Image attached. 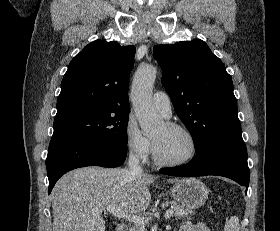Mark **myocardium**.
Here are the masks:
<instances>
[{
    "mask_svg": "<svg viewBox=\"0 0 280 231\" xmlns=\"http://www.w3.org/2000/svg\"><path fill=\"white\" fill-rule=\"evenodd\" d=\"M166 125L169 126L172 129H175L177 131H181L185 135H187L188 138L191 141V144H192V151L187 157H185L183 159H180V160H165L159 155V153L157 151V148L155 147V149H154V159H155V161L159 165L164 166V167H178V166H183V165H186V164L190 163L192 160L195 159V157L197 156L198 151H199V144H198V140H197L196 135L194 134V132L190 128H188L184 125H181V124H178V123H175V122H167Z\"/></svg>",
    "mask_w": 280,
    "mask_h": 231,
    "instance_id": "1",
    "label": "myocardium"
}]
</instances>
